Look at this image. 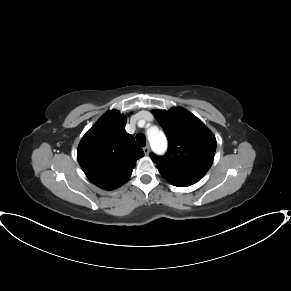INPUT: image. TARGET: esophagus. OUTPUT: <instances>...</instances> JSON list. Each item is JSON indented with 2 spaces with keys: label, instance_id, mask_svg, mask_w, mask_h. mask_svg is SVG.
<instances>
[{
  "label": "esophagus",
  "instance_id": "1",
  "mask_svg": "<svg viewBox=\"0 0 291 291\" xmlns=\"http://www.w3.org/2000/svg\"><path fill=\"white\" fill-rule=\"evenodd\" d=\"M143 151H144V154H145V155H148L149 152H150L149 146H145V147L143 148Z\"/></svg>",
  "mask_w": 291,
  "mask_h": 291
}]
</instances>
